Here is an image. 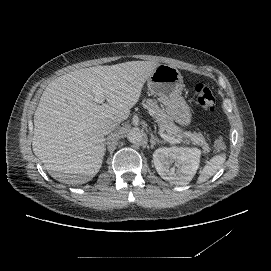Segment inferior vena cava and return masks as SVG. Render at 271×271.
Instances as JSON below:
<instances>
[{
	"label": "inferior vena cava",
	"mask_w": 271,
	"mask_h": 271,
	"mask_svg": "<svg viewBox=\"0 0 271 271\" xmlns=\"http://www.w3.org/2000/svg\"><path fill=\"white\" fill-rule=\"evenodd\" d=\"M119 126V122L114 120H109L101 126V131L104 135L109 134L111 131L115 130Z\"/></svg>",
	"instance_id": "602c4592"
}]
</instances>
